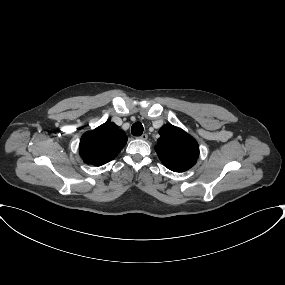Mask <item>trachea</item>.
<instances>
[{"instance_id": "obj_1", "label": "trachea", "mask_w": 285, "mask_h": 285, "mask_svg": "<svg viewBox=\"0 0 285 285\" xmlns=\"http://www.w3.org/2000/svg\"><path fill=\"white\" fill-rule=\"evenodd\" d=\"M143 125L140 122H136L131 127V133L134 136H141L143 133Z\"/></svg>"}]
</instances>
